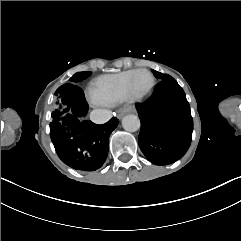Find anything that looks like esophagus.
Returning a JSON list of instances; mask_svg holds the SVG:
<instances>
[{"mask_svg": "<svg viewBox=\"0 0 241 241\" xmlns=\"http://www.w3.org/2000/svg\"><path fill=\"white\" fill-rule=\"evenodd\" d=\"M133 110H134V108L132 106H127V107H125L123 109H120L118 111V116H123L127 113H131V112H133Z\"/></svg>", "mask_w": 241, "mask_h": 241, "instance_id": "1", "label": "esophagus"}]
</instances>
